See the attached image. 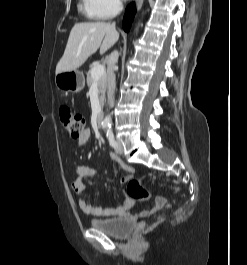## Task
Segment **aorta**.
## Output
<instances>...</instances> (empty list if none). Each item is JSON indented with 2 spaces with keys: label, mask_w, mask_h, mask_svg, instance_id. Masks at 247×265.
<instances>
[{
  "label": "aorta",
  "mask_w": 247,
  "mask_h": 265,
  "mask_svg": "<svg viewBox=\"0 0 247 265\" xmlns=\"http://www.w3.org/2000/svg\"><path fill=\"white\" fill-rule=\"evenodd\" d=\"M104 123H105L106 125L111 124V117H110V115H107V116L105 117V119H104Z\"/></svg>",
  "instance_id": "aorta-1"
}]
</instances>
